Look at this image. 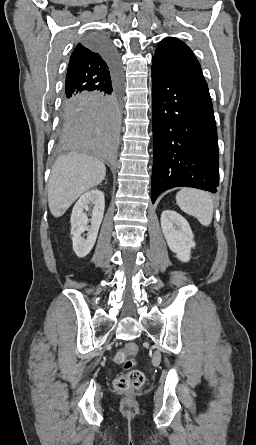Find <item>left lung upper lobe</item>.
I'll use <instances>...</instances> for the list:
<instances>
[{
    "label": "left lung upper lobe",
    "mask_w": 256,
    "mask_h": 445,
    "mask_svg": "<svg viewBox=\"0 0 256 445\" xmlns=\"http://www.w3.org/2000/svg\"><path fill=\"white\" fill-rule=\"evenodd\" d=\"M152 60V66L173 71L191 81L207 85L194 53L185 43L176 38L163 39Z\"/></svg>",
    "instance_id": "left-lung-upper-lobe-1"
}]
</instances>
